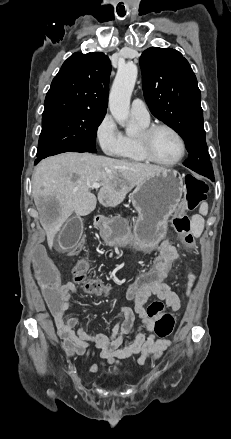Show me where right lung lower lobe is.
<instances>
[{
	"label": "right lung lower lobe",
	"mask_w": 231,
	"mask_h": 439,
	"mask_svg": "<svg viewBox=\"0 0 231 439\" xmlns=\"http://www.w3.org/2000/svg\"><path fill=\"white\" fill-rule=\"evenodd\" d=\"M43 158H37L35 161V164H37L40 160H42Z\"/></svg>",
	"instance_id": "98d812e1"
}]
</instances>
